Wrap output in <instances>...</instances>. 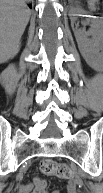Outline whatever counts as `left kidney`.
Returning <instances> with one entry per match:
<instances>
[{"label": "left kidney", "instance_id": "5707ae66", "mask_svg": "<svg viewBox=\"0 0 103 193\" xmlns=\"http://www.w3.org/2000/svg\"><path fill=\"white\" fill-rule=\"evenodd\" d=\"M85 11L80 8H72L69 11L71 22H76V16H83ZM89 31L74 29V35L78 44L79 51L86 63L96 71H101L103 67V29L102 22L93 17L90 21ZM91 36V38H88Z\"/></svg>", "mask_w": 103, "mask_h": 193}]
</instances>
